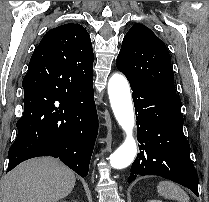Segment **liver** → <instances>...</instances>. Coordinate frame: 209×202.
<instances>
[{
    "label": "liver",
    "mask_w": 209,
    "mask_h": 202,
    "mask_svg": "<svg viewBox=\"0 0 209 202\" xmlns=\"http://www.w3.org/2000/svg\"><path fill=\"white\" fill-rule=\"evenodd\" d=\"M75 182L74 172L59 160L31 159L4 177L0 202H57L72 192Z\"/></svg>",
    "instance_id": "6515ba94"
}]
</instances>
